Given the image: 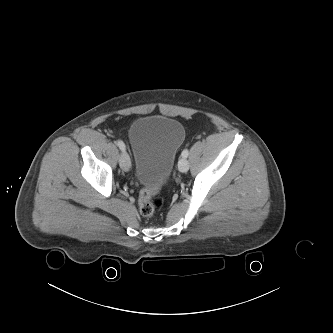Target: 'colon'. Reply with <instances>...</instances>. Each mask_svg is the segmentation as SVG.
Instances as JSON below:
<instances>
[{"instance_id":"colon-1","label":"colon","mask_w":333,"mask_h":333,"mask_svg":"<svg viewBox=\"0 0 333 333\" xmlns=\"http://www.w3.org/2000/svg\"><path fill=\"white\" fill-rule=\"evenodd\" d=\"M161 187H148L141 190L139 194V211L144 217H151L157 209L163 205V201L158 197Z\"/></svg>"}]
</instances>
